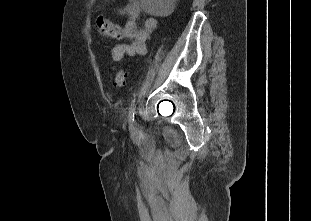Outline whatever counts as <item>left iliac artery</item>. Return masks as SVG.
Wrapping results in <instances>:
<instances>
[{
	"mask_svg": "<svg viewBox=\"0 0 311 221\" xmlns=\"http://www.w3.org/2000/svg\"><path fill=\"white\" fill-rule=\"evenodd\" d=\"M135 109H136V97L133 98L129 107V123L132 125L135 123Z\"/></svg>",
	"mask_w": 311,
	"mask_h": 221,
	"instance_id": "left-iliac-artery-1",
	"label": "left iliac artery"
}]
</instances>
